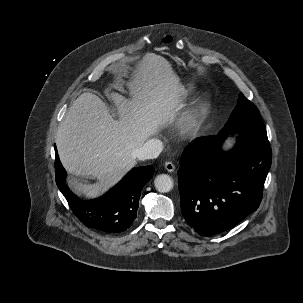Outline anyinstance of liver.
I'll use <instances>...</instances> for the list:
<instances>
[{
    "mask_svg": "<svg viewBox=\"0 0 303 303\" xmlns=\"http://www.w3.org/2000/svg\"><path fill=\"white\" fill-rule=\"evenodd\" d=\"M126 85L131 98L110 94L119 120L98 96L83 93L58 128L55 143L63 166L76 176L98 180H69L72 189L87 198L101 195L133 168L134 152L173 120L180 105L179 78L161 56L146 54L136 62Z\"/></svg>",
    "mask_w": 303,
    "mask_h": 303,
    "instance_id": "6515ba94",
    "label": "liver"
}]
</instances>
